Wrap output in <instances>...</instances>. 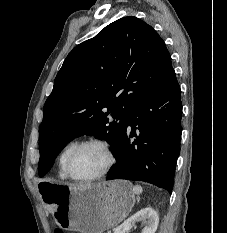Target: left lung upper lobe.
I'll return each mask as SVG.
<instances>
[{"label": "left lung upper lobe", "mask_w": 227, "mask_h": 233, "mask_svg": "<svg viewBox=\"0 0 227 233\" xmlns=\"http://www.w3.org/2000/svg\"><path fill=\"white\" fill-rule=\"evenodd\" d=\"M163 39L144 21L123 17L76 46L59 70L39 129V176L71 140L105 139L115 154L135 103L172 70Z\"/></svg>", "instance_id": "1"}]
</instances>
